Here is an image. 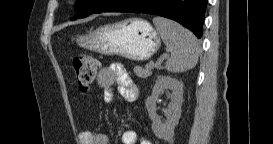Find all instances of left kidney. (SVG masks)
I'll return each mask as SVG.
<instances>
[{"label": "left kidney", "instance_id": "1", "mask_svg": "<svg viewBox=\"0 0 273 144\" xmlns=\"http://www.w3.org/2000/svg\"><path fill=\"white\" fill-rule=\"evenodd\" d=\"M171 91V102L168 110H164L166 121L162 122L156 113V101L164 91ZM183 102V84L170 76H158L152 89V94L146 99L145 105L152 120V131L156 137L170 140L174 135L175 126L181 117V105Z\"/></svg>", "mask_w": 273, "mask_h": 144}]
</instances>
